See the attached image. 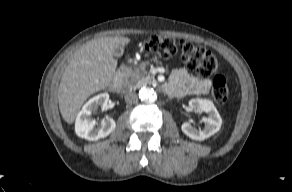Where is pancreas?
Masks as SVG:
<instances>
[{
	"label": "pancreas",
	"instance_id": "cf45deb5",
	"mask_svg": "<svg viewBox=\"0 0 292 192\" xmlns=\"http://www.w3.org/2000/svg\"><path fill=\"white\" fill-rule=\"evenodd\" d=\"M126 79L133 87H140L147 83L155 82L154 77L147 73L145 64H141L134 70H129L126 74Z\"/></svg>",
	"mask_w": 292,
	"mask_h": 192
}]
</instances>
